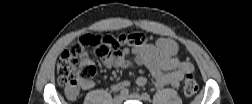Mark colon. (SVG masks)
Segmentation results:
<instances>
[{
  "instance_id": "colon-1",
  "label": "colon",
  "mask_w": 252,
  "mask_h": 104,
  "mask_svg": "<svg viewBox=\"0 0 252 104\" xmlns=\"http://www.w3.org/2000/svg\"><path fill=\"white\" fill-rule=\"evenodd\" d=\"M146 37L138 31L120 34L117 37L99 33H89L80 37L60 55L57 64L58 82L70 99H75L82 81L95 74L93 66L85 64L84 58L93 54L99 59H107L121 46L138 47L144 44ZM183 90L187 97H194L199 90L197 78L187 73L183 80Z\"/></svg>"
}]
</instances>
